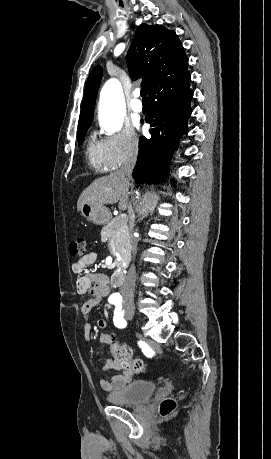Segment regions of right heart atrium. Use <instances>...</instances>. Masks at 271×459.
I'll list each match as a JSON object with an SVG mask.
<instances>
[{
  "instance_id": "d8ad5b80",
  "label": "right heart atrium",
  "mask_w": 271,
  "mask_h": 459,
  "mask_svg": "<svg viewBox=\"0 0 271 459\" xmlns=\"http://www.w3.org/2000/svg\"><path fill=\"white\" fill-rule=\"evenodd\" d=\"M99 147L108 168L115 169L125 159H132L137 156L140 142L134 129L130 126H124L109 133L100 141Z\"/></svg>"
}]
</instances>
